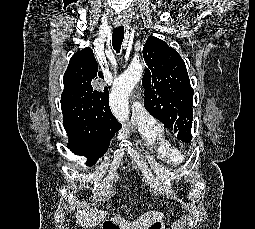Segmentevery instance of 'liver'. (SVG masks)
I'll return each mask as SVG.
<instances>
[{"label": "liver", "mask_w": 255, "mask_h": 229, "mask_svg": "<svg viewBox=\"0 0 255 229\" xmlns=\"http://www.w3.org/2000/svg\"><path fill=\"white\" fill-rule=\"evenodd\" d=\"M107 211L97 208H86L77 210L75 216L76 223L82 227L91 228L99 225L106 219ZM163 214L158 211H147L139 216L134 222H128L120 216L112 219V222L119 225L122 229H147L156 220L162 219Z\"/></svg>", "instance_id": "1"}]
</instances>
